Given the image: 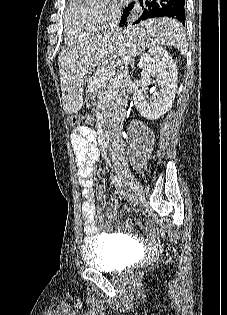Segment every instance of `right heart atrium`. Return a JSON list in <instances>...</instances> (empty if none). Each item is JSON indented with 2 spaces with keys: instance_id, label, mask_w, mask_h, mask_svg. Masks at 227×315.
I'll return each instance as SVG.
<instances>
[{
  "instance_id": "obj_1",
  "label": "right heart atrium",
  "mask_w": 227,
  "mask_h": 315,
  "mask_svg": "<svg viewBox=\"0 0 227 315\" xmlns=\"http://www.w3.org/2000/svg\"><path fill=\"white\" fill-rule=\"evenodd\" d=\"M120 15V8L113 2L96 10V18L101 29L116 21Z\"/></svg>"
}]
</instances>
